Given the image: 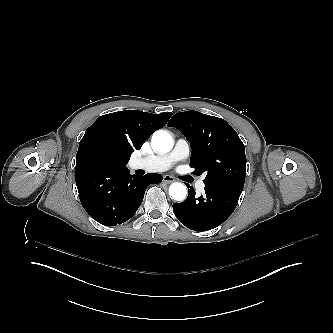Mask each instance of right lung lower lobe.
I'll return each instance as SVG.
<instances>
[{"mask_svg":"<svg viewBox=\"0 0 333 333\" xmlns=\"http://www.w3.org/2000/svg\"><path fill=\"white\" fill-rule=\"evenodd\" d=\"M76 185L86 212L97 222L115 226L130 219L143 201L148 185L160 183V174L133 177L127 167H76Z\"/></svg>","mask_w":333,"mask_h":333,"instance_id":"98d812e1","label":"right lung lower lobe"}]
</instances>
